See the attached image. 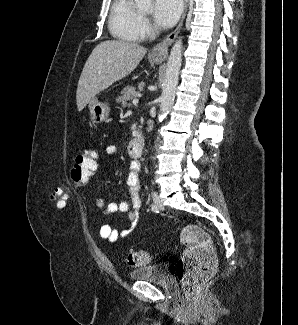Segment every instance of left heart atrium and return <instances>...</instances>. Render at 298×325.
I'll use <instances>...</instances> for the list:
<instances>
[{"instance_id":"left-heart-atrium-1","label":"left heart atrium","mask_w":298,"mask_h":325,"mask_svg":"<svg viewBox=\"0 0 298 325\" xmlns=\"http://www.w3.org/2000/svg\"><path fill=\"white\" fill-rule=\"evenodd\" d=\"M182 12L181 0H155L152 8L154 23L163 29L172 27Z\"/></svg>"}]
</instances>
